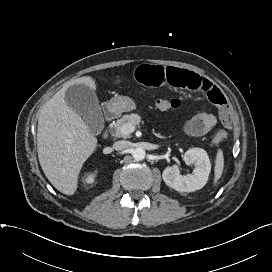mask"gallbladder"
<instances>
[{
    "instance_id": "1",
    "label": "gallbladder",
    "mask_w": 272,
    "mask_h": 272,
    "mask_svg": "<svg viewBox=\"0 0 272 272\" xmlns=\"http://www.w3.org/2000/svg\"><path fill=\"white\" fill-rule=\"evenodd\" d=\"M68 107L82 116L89 131L99 134L104 127V118L94 90L84 84H74L65 92Z\"/></svg>"
}]
</instances>
